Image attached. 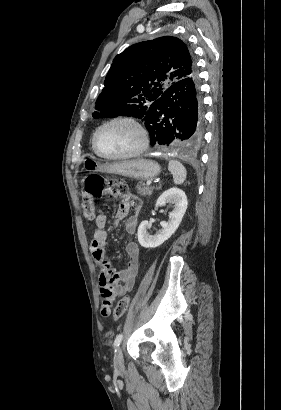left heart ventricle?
<instances>
[{"mask_svg": "<svg viewBox=\"0 0 281 410\" xmlns=\"http://www.w3.org/2000/svg\"><path fill=\"white\" fill-rule=\"evenodd\" d=\"M97 144L105 154L122 155L139 146L140 135L132 125L118 122L106 126L99 132Z\"/></svg>", "mask_w": 281, "mask_h": 410, "instance_id": "b2bd125f", "label": "left heart ventricle"}]
</instances>
